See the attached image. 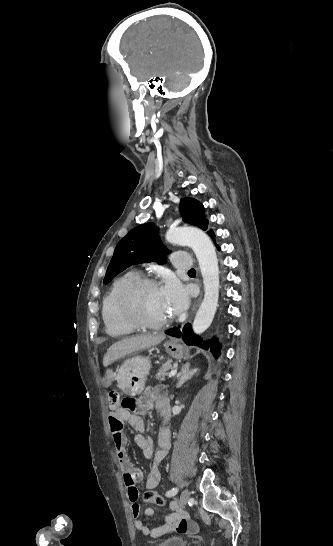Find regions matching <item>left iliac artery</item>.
I'll return each mask as SVG.
<instances>
[{
	"label": "left iliac artery",
	"instance_id": "44dca946",
	"mask_svg": "<svg viewBox=\"0 0 333 546\" xmlns=\"http://www.w3.org/2000/svg\"><path fill=\"white\" fill-rule=\"evenodd\" d=\"M177 492H178V488H177V487L172 488L171 490H169V491L166 492V496H167V497L174 496V495L177 494Z\"/></svg>",
	"mask_w": 333,
	"mask_h": 546
}]
</instances>
